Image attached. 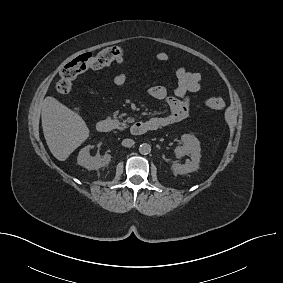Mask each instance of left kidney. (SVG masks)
Returning <instances> with one entry per match:
<instances>
[{"label": "left kidney", "instance_id": "1", "mask_svg": "<svg viewBox=\"0 0 283 283\" xmlns=\"http://www.w3.org/2000/svg\"><path fill=\"white\" fill-rule=\"evenodd\" d=\"M182 145L175 149L177 157H181L185 154L191 155V160H186L184 165L179 163H173L171 170L174 175H184L196 171L199 168V162L201 158V148L199 140L190 134H183L181 137Z\"/></svg>", "mask_w": 283, "mask_h": 283}]
</instances>
